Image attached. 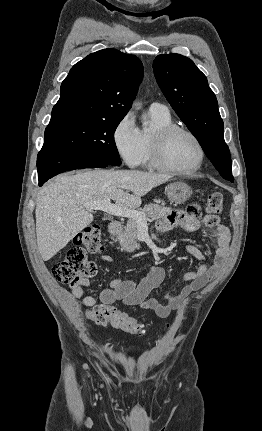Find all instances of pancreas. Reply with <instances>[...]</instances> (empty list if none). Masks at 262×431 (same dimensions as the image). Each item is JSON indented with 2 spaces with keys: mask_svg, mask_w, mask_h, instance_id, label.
Masks as SVG:
<instances>
[{
  "mask_svg": "<svg viewBox=\"0 0 262 431\" xmlns=\"http://www.w3.org/2000/svg\"><path fill=\"white\" fill-rule=\"evenodd\" d=\"M145 217L151 218L153 220H157L160 218H164L167 213L170 212V208L159 206L157 204H148L144 206L143 209L140 210ZM138 238V223L134 219H130L127 221V226L123 231H121L115 238V241H118L121 245V250L127 252H133L134 250L140 248V245L137 243Z\"/></svg>",
  "mask_w": 262,
  "mask_h": 431,
  "instance_id": "pancreas-1",
  "label": "pancreas"
}]
</instances>
